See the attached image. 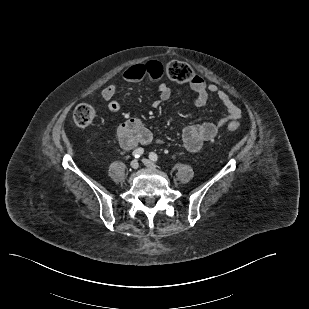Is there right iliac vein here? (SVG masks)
I'll list each match as a JSON object with an SVG mask.
<instances>
[{
    "mask_svg": "<svg viewBox=\"0 0 309 309\" xmlns=\"http://www.w3.org/2000/svg\"><path fill=\"white\" fill-rule=\"evenodd\" d=\"M131 168L137 169L139 167V163L137 160H133L130 164Z\"/></svg>",
    "mask_w": 309,
    "mask_h": 309,
    "instance_id": "obj_1",
    "label": "right iliac vein"
}]
</instances>
